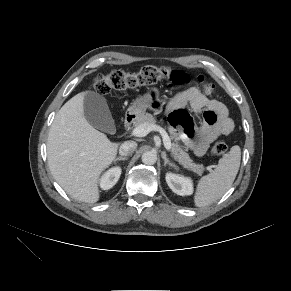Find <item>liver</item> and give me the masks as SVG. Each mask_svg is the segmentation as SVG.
Wrapping results in <instances>:
<instances>
[{
	"label": "liver",
	"mask_w": 291,
	"mask_h": 291,
	"mask_svg": "<svg viewBox=\"0 0 291 291\" xmlns=\"http://www.w3.org/2000/svg\"><path fill=\"white\" fill-rule=\"evenodd\" d=\"M78 93L55 116L47 141L48 165L64 191L80 202L100 198V175L115 160L119 143L96 130L84 116V96Z\"/></svg>",
	"instance_id": "1"
}]
</instances>
